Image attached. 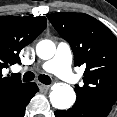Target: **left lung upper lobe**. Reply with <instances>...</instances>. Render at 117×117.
I'll return each mask as SVG.
<instances>
[{
    "instance_id": "obj_1",
    "label": "left lung upper lobe",
    "mask_w": 117,
    "mask_h": 117,
    "mask_svg": "<svg viewBox=\"0 0 117 117\" xmlns=\"http://www.w3.org/2000/svg\"><path fill=\"white\" fill-rule=\"evenodd\" d=\"M48 19L71 46L75 66L84 65L77 100L111 106L117 99V38L97 19L84 13L62 12Z\"/></svg>"
}]
</instances>
